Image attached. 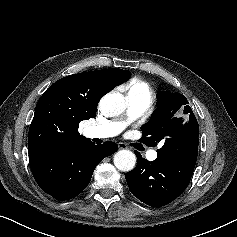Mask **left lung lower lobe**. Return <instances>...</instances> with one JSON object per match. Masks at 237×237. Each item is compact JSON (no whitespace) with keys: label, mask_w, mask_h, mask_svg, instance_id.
<instances>
[{"label":"left lung lower lobe","mask_w":237,"mask_h":237,"mask_svg":"<svg viewBox=\"0 0 237 237\" xmlns=\"http://www.w3.org/2000/svg\"><path fill=\"white\" fill-rule=\"evenodd\" d=\"M137 166L126 173L130 192L143 203L152 207L167 205L188 186L197 160L198 145L178 155L158 154L149 162L141 154Z\"/></svg>","instance_id":"left-lung-lower-lobe-1"}]
</instances>
